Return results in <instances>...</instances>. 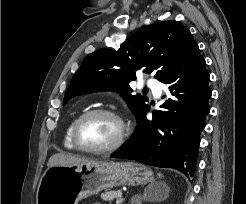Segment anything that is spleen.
Instances as JSON below:
<instances>
[{
	"instance_id": "obj_1",
	"label": "spleen",
	"mask_w": 246,
	"mask_h": 204,
	"mask_svg": "<svg viewBox=\"0 0 246 204\" xmlns=\"http://www.w3.org/2000/svg\"><path fill=\"white\" fill-rule=\"evenodd\" d=\"M158 176H159L160 178H162V177H163V175H162L161 173H158Z\"/></svg>"
}]
</instances>
